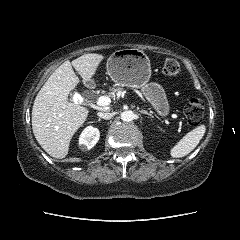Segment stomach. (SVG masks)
I'll return each mask as SVG.
<instances>
[{"label": "stomach", "instance_id": "stomach-1", "mask_svg": "<svg viewBox=\"0 0 240 240\" xmlns=\"http://www.w3.org/2000/svg\"><path fill=\"white\" fill-rule=\"evenodd\" d=\"M107 73L119 86L138 88L160 116H167L169 104L163 87L150 82L151 64L143 51L130 48L115 51L107 60Z\"/></svg>", "mask_w": 240, "mask_h": 240}]
</instances>
